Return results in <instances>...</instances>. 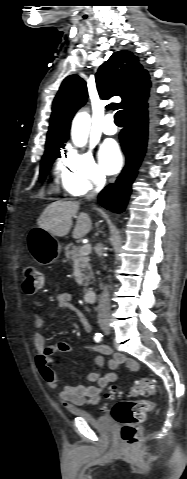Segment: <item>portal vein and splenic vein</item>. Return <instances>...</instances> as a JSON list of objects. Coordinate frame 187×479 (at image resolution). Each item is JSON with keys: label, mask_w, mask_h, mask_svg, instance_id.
Masks as SVG:
<instances>
[{"label": "portal vein and splenic vein", "mask_w": 187, "mask_h": 479, "mask_svg": "<svg viewBox=\"0 0 187 479\" xmlns=\"http://www.w3.org/2000/svg\"><path fill=\"white\" fill-rule=\"evenodd\" d=\"M91 252V245L90 244H86V245H83L82 247H80V254L81 255H88L90 254Z\"/></svg>", "instance_id": "18ae733b"}]
</instances>
